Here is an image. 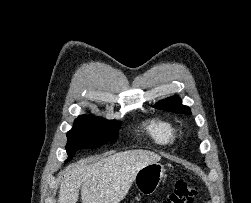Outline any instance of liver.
Masks as SVG:
<instances>
[{
    "label": "liver",
    "instance_id": "obj_1",
    "mask_svg": "<svg viewBox=\"0 0 251 203\" xmlns=\"http://www.w3.org/2000/svg\"><path fill=\"white\" fill-rule=\"evenodd\" d=\"M161 159L148 150L118 152L92 164H72L60 177L58 203H119L131 188L137 172Z\"/></svg>",
    "mask_w": 251,
    "mask_h": 203
}]
</instances>
